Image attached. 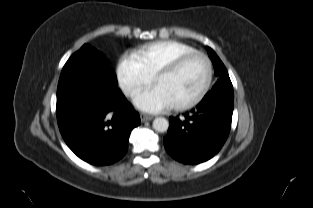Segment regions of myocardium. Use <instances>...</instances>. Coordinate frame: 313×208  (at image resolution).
<instances>
[{
	"label": "myocardium",
	"instance_id": "obj_1",
	"mask_svg": "<svg viewBox=\"0 0 313 208\" xmlns=\"http://www.w3.org/2000/svg\"><path fill=\"white\" fill-rule=\"evenodd\" d=\"M197 57L202 58L206 63L207 76H206L205 83H204L201 91L198 93V95L196 97H194L192 100L185 102V103H182V104L173 105V107L176 110L182 111V110L191 109L194 106L198 105L205 98V96L208 94L210 87L212 85V81H213V65H212L210 58L206 54H204L200 51H193V52L185 53V54L177 57L176 59H174L168 65L162 67L155 74L154 81L157 82L161 77L177 72L186 63H188L190 60L197 58Z\"/></svg>",
	"mask_w": 313,
	"mask_h": 208
}]
</instances>
